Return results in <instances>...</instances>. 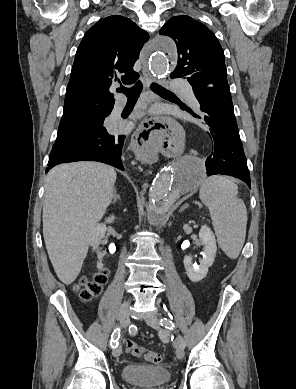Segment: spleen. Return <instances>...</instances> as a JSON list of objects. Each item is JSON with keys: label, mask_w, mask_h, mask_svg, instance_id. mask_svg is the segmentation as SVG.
<instances>
[{"label": "spleen", "mask_w": 296, "mask_h": 389, "mask_svg": "<svg viewBox=\"0 0 296 389\" xmlns=\"http://www.w3.org/2000/svg\"><path fill=\"white\" fill-rule=\"evenodd\" d=\"M237 194V185L220 175L206 179L199 190L200 200L209 209L218 245L231 259L239 256L246 237L247 209Z\"/></svg>", "instance_id": "obj_1"}]
</instances>
